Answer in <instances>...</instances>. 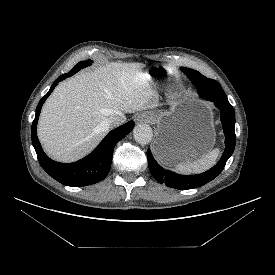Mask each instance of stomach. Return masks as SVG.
Returning <instances> with one entry per match:
<instances>
[{
  "instance_id": "1",
  "label": "stomach",
  "mask_w": 275,
  "mask_h": 275,
  "mask_svg": "<svg viewBox=\"0 0 275 275\" xmlns=\"http://www.w3.org/2000/svg\"><path fill=\"white\" fill-rule=\"evenodd\" d=\"M152 79L170 73L168 65H153L145 70ZM171 110L154 116L157 135L153 151L163 164L196 161L215 144L211 107L195 99L179 96L171 100Z\"/></svg>"
}]
</instances>
